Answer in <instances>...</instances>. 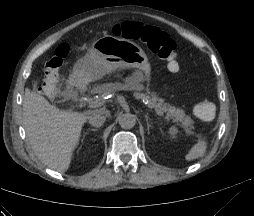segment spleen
Masks as SVG:
<instances>
[{"instance_id":"1","label":"spleen","mask_w":254,"mask_h":216,"mask_svg":"<svg viewBox=\"0 0 254 216\" xmlns=\"http://www.w3.org/2000/svg\"><path fill=\"white\" fill-rule=\"evenodd\" d=\"M207 143L204 140H198L196 144H194L189 152L186 154V161H193L198 158L203 157L206 152Z\"/></svg>"}]
</instances>
